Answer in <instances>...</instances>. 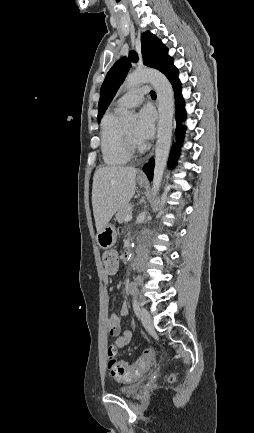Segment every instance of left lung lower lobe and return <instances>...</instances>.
I'll list each match as a JSON object with an SVG mask.
<instances>
[{"mask_svg": "<svg viewBox=\"0 0 254 433\" xmlns=\"http://www.w3.org/2000/svg\"><path fill=\"white\" fill-rule=\"evenodd\" d=\"M166 77L170 80L173 85L175 92V102H176V119H177V143L173 145L170 155V166H173L176 163L177 154L179 152V147L182 144L183 140V132L184 127L180 125V123L185 119V111H184V101L181 96V83L178 79V69L173 65V63L163 72ZM153 167L154 161L151 159L148 164L143 167L144 172L148 176L149 180H152L153 177Z\"/></svg>", "mask_w": 254, "mask_h": 433, "instance_id": "0a47b994", "label": "left lung lower lobe"}]
</instances>
